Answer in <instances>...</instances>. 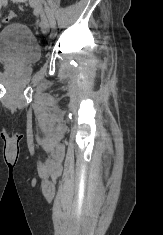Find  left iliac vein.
Masks as SVG:
<instances>
[{"mask_svg": "<svg viewBox=\"0 0 163 235\" xmlns=\"http://www.w3.org/2000/svg\"><path fill=\"white\" fill-rule=\"evenodd\" d=\"M29 3L39 12L40 14V27L43 34H48L50 31L49 20L45 14L42 0H29Z\"/></svg>", "mask_w": 163, "mask_h": 235, "instance_id": "4c4485c4", "label": "left iliac vein"}]
</instances>
